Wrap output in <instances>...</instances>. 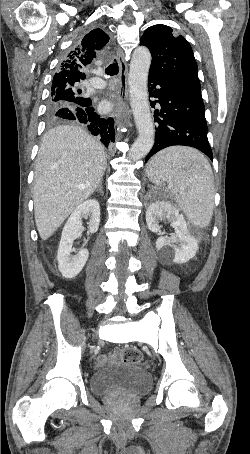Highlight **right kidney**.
Wrapping results in <instances>:
<instances>
[{"instance_id": "ca27d5eb", "label": "right kidney", "mask_w": 250, "mask_h": 454, "mask_svg": "<svg viewBox=\"0 0 250 454\" xmlns=\"http://www.w3.org/2000/svg\"><path fill=\"white\" fill-rule=\"evenodd\" d=\"M83 217H89V232H97L100 223V205L97 200L89 199L77 206L63 228L57 260L58 269L65 278L70 279L77 276L89 257V252L86 248L81 249L74 256L71 255L75 251L72 247L74 240L81 234ZM84 242L85 244L87 243L86 240Z\"/></svg>"}]
</instances>
